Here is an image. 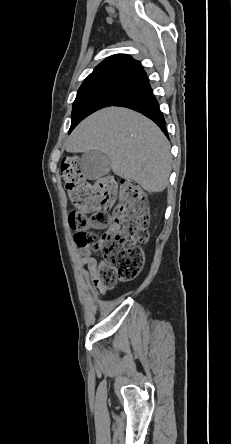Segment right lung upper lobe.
Wrapping results in <instances>:
<instances>
[{
	"label": "right lung upper lobe",
	"mask_w": 231,
	"mask_h": 444,
	"mask_svg": "<svg viewBox=\"0 0 231 444\" xmlns=\"http://www.w3.org/2000/svg\"><path fill=\"white\" fill-rule=\"evenodd\" d=\"M116 85L130 92L148 84L141 63L126 54H116L100 63L85 79L80 89L100 85Z\"/></svg>",
	"instance_id": "1"
}]
</instances>
